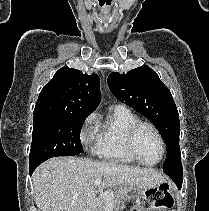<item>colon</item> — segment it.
<instances>
[{"mask_svg":"<svg viewBox=\"0 0 209 211\" xmlns=\"http://www.w3.org/2000/svg\"><path fill=\"white\" fill-rule=\"evenodd\" d=\"M171 195L167 185L150 190L138 198L136 207L132 211H144L146 209H160L170 206Z\"/></svg>","mask_w":209,"mask_h":211,"instance_id":"5ec220e1","label":"colon"}]
</instances>
